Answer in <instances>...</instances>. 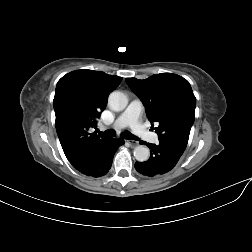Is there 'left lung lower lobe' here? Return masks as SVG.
<instances>
[{"instance_id": "left-lung-lower-lobe-1", "label": "left lung lower lobe", "mask_w": 252, "mask_h": 252, "mask_svg": "<svg viewBox=\"0 0 252 252\" xmlns=\"http://www.w3.org/2000/svg\"><path fill=\"white\" fill-rule=\"evenodd\" d=\"M150 149V158L145 162H136L135 169L148 177L159 176L172 170L179 161L185 148L176 143L159 140L158 144L146 143Z\"/></svg>"}]
</instances>
